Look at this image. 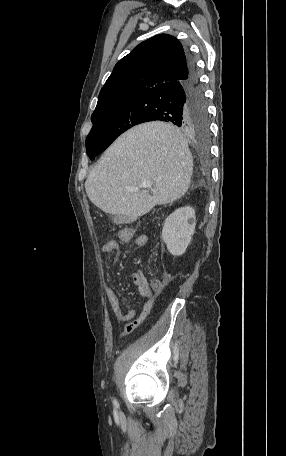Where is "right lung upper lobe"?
Wrapping results in <instances>:
<instances>
[{
    "instance_id": "right-lung-upper-lobe-1",
    "label": "right lung upper lobe",
    "mask_w": 286,
    "mask_h": 456,
    "mask_svg": "<svg viewBox=\"0 0 286 456\" xmlns=\"http://www.w3.org/2000/svg\"><path fill=\"white\" fill-rule=\"evenodd\" d=\"M187 72V55L181 43L167 34L156 35L136 46L114 67L100 91L96 110L125 97L138 95Z\"/></svg>"
}]
</instances>
